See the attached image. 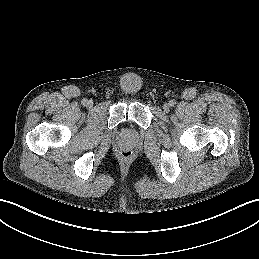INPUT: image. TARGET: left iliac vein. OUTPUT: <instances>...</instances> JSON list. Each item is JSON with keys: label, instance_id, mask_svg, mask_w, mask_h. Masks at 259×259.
Returning a JSON list of instances; mask_svg holds the SVG:
<instances>
[{"label": "left iliac vein", "instance_id": "obj_1", "mask_svg": "<svg viewBox=\"0 0 259 259\" xmlns=\"http://www.w3.org/2000/svg\"><path fill=\"white\" fill-rule=\"evenodd\" d=\"M169 108H170V104H169V103H164V105H163V110H164L165 112H168V111H169Z\"/></svg>", "mask_w": 259, "mask_h": 259}]
</instances>
